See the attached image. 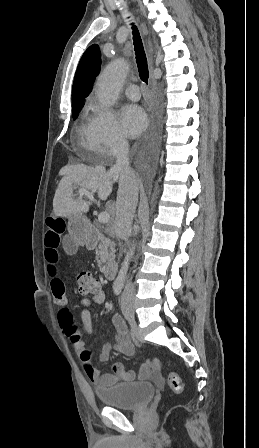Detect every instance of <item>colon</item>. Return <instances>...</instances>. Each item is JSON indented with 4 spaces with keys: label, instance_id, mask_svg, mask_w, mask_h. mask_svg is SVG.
<instances>
[{
    "label": "colon",
    "instance_id": "1",
    "mask_svg": "<svg viewBox=\"0 0 259 448\" xmlns=\"http://www.w3.org/2000/svg\"><path fill=\"white\" fill-rule=\"evenodd\" d=\"M77 282L80 295L93 296L101 292L99 280L90 271L81 272L77 277ZM168 384L175 393H180L183 389L182 380L174 371L168 373Z\"/></svg>",
    "mask_w": 259,
    "mask_h": 448
}]
</instances>
